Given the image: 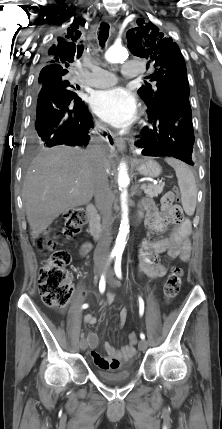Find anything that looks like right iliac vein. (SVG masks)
<instances>
[{"label":"right iliac vein","instance_id":"obj_1","mask_svg":"<svg viewBox=\"0 0 222 429\" xmlns=\"http://www.w3.org/2000/svg\"><path fill=\"white\" fill-rule=\"evenodd\" d=\"M102 273H103V270H102L101 268H99V269L97 270V272H96L97 277H98V278H100V276L102 275ZM79 346H80V349H81L82 351H84V350H86V349H87L88 344H87L86 339H85L83 336H82V337H81V339H80Z\"/></svg>","mask_w":222,"mask_h":429}]
</instances>
